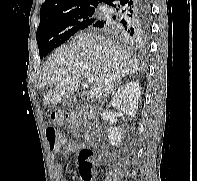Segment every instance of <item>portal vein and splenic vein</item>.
Listing matches in <instances>:
<instances>
[{
	"mask_svg": "<svg viewBox=\"0 0 197 181\" xmlns=\"http://www.w3.org/2000/svg\"><path fill=\"white\" fill-rule=\"evenodd\" d=\"M86 81H87V83L92 84L94 82V75L93 74H88L86 76Z\"/></svg>",
	"mask_w": 197,
	"mask_h": 181,
	"instance_id": "1",
	"label": "portal vein and splenic vein"
}]
</instances>
